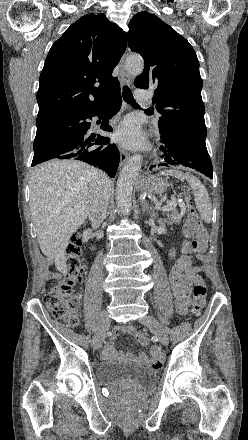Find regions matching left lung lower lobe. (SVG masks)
Wrapping results in <instances>:
<instances>
[{"label": "left lung lower lobe", "instance_id": "left-lung-lower-lobe-1", "mask_svg": "<svg viewBox=\"0 0 248 440\" xmlns=\"http://www.w3.org/2000/svg\"><path fill=\"white\" fill-rule=\"evenodd\" d=\"M160 149L165 153L159 165H178L195 169L213 178L212 163L203 141H195L185 136L167 133L161 140ZM152 168V166H151Z\"/></svg>", "mask_w": 248, "mask_h": 440}]
</instances>
